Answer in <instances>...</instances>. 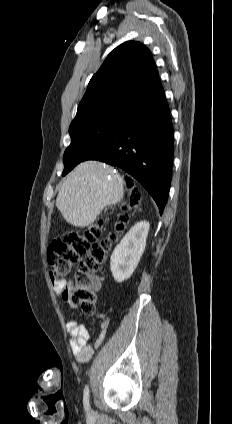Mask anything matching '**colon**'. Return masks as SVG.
<instances>
[{"instance_id": "colon-1", "label": "colon", "mask_w": 232, "mask_h": 424, "mask_svg": "<svg viewBox=\"0 0 232 424\" xmlns=\"http://www.w3.org/2000/svg\"><path fill=\"white\" fill-rule=\"evenodd\" d=\"M140 202V192L132 189L129 193V205L125 209L133 208ZM128 220V214L121 216L117 226L123 230ZM105 220L100 218L96 224L81 234H71L66 239L52 242L47 249V262L51 267V281L58 284L68 285L66 277L72 269L79 265L71 290L70 299L74 304L81 307L87 315H92L96 310V282L94 273L105 261L106 253L113 242L116 234H112L107 241L98 243L102 236Z\"/></svg>"}]
</instances>
